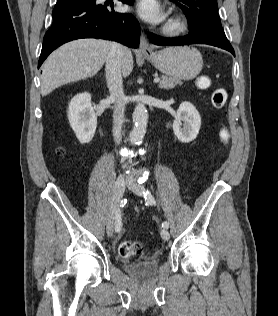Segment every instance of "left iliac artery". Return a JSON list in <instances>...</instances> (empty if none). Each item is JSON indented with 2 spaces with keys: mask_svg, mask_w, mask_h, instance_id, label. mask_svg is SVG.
Masks as SVG:
<instances>
[{
  "mask_svg": "<svg viewBox=\"0 0 278 316\" xmlns=\"http://www.w3.org/2000/svg\"><path fill=\"white\" fill-rule=\"evenodd\" d=\"M144 198H145L147 205H155L156 204V200H155L154 196L151 194V192L148 189L146 191H144ZM162 227L167 229L169 227V223L167 221H164L162 223Z\"/></svg>",
  "mask_w": 278,
  "mask_h": 316,
  "instance_id": "44dca946",
  "label": "left iliac artery"
}]
</instances>
